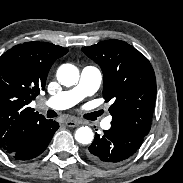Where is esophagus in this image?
<instances>
[{
  "label": "esophagus",
  "instance_id": "1",
  "mask_svg": "<svg viewBox=\"0 0 183 183\" xmlns=\"http://www.w3.org/2000/svg\"><path fill=\"white\" fill-rule=\"evenodd\" d=\"M64 123L68 127H76L77 125L83 123V121L82 120H76V119H68Z\"/></svg>",
  "mask_w": 183,
  "mask_h": 183
}]
</instances>
